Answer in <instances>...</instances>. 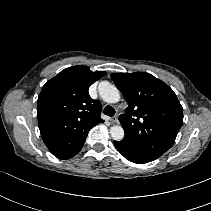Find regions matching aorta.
Wrapping results in <instances>:
<instances>
[{
	"mask_svg": "<svg viewBox=\"0 0 211 211\" xmlns=\"http://www.w3.org/2000/svg\"><path fill=\"white\" fill-rule=\"evenodd\" d=\"M98 90L100 97L107 103H117L120 100V92L117 87L107 81H102ZM110 135L114 140L120 141L124 138V130L121 126H112Z\"/></svg>",
	"mask_w": 211,
	"mask_h": 211,
	"instance_id": "obj_1",
	"label": "aorta"
}]
</instances>
